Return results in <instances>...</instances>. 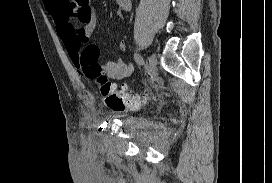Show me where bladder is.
I'll use <instances>...</instances> for the list:
<instances>
[{"instance_id":"31cf9c89","label":"bladder","mask_w":272,"mask_h":183,"mask_svg":"<svg viewBox=\"0 0 272 183\" xmlns=\"http://www.w3.org/2000/svg\"><path fill=\"white\" fill-rule=\"evenodd\" d=\"M114 119H119L125 123H127L129 120V118L124 114H116V115H114Z\"/></svg>"}]
</instances>
